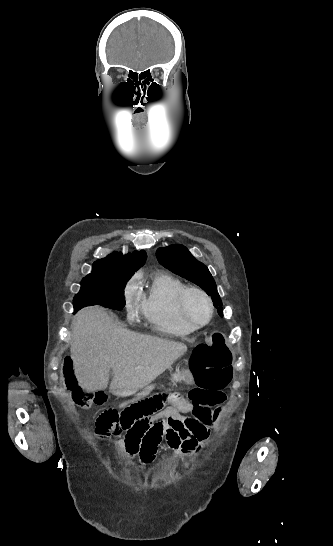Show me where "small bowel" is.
Wrapping results in <instances>:
<instances>
[{
	"label": "small bowel",
	"instance_id": "c3829d8e",
	"mask_svg": "<svg viewBox=\"0 0 333 546\" xmlns=\"http://www.w3.org/2000/svg\"><path fill=\"white\" fill-rule=\"evenodd\" d=\"M186 381L187 387L195 386L194 375L188 371L180 373ZM133 400L138 396H147L153 392V387L145 386L140 389ZM201 395L207 402L183 403L180 407H167L153 418H146L144 422H137L135 418H129L128 432L119 447L125 451L128 457L138 464L150 465L155 459L157 448L165 439L169 448L174 452L177 461L198 453L210 436L211 428L217 420L221 408L212 410L213 406L221 405L225 395L221 390L203 391ZM191 413V416L186 415ZM161 435L157 438L156 431Z\"/></svg>",
	"mask_w": 333,
	"mask_h": 546
}]
</instances>
